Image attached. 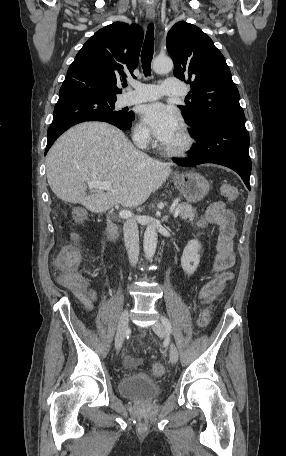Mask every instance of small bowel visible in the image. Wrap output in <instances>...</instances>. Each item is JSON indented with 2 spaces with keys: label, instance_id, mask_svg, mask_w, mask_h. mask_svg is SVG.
I'll return each mask as SVG.
<instances>
[{
  "label": "small bowel",
  "instance_id": "c3829d8e",
  "mask_svg": "<svg viewBox=\"0 0 286 456\" xmlns=\"http://www.w3.org/2000/svg\"><path fill=\"white\" fill-rule=\"evenodd\" d=\"M198 225L202 228L217 226L220 230L216 246L217 254L211 261V276L199 291L201 300L210 302L234 277L230 269L236 261L233 242L235 216L223 203L217 202L206 210ZM74 297L87 312H92L94 304L99 300L97 292L92 286L81 291H74Z\"/></svg>",
  "mask_w": 286,
  "mask_h": 456
}]
</instances>
